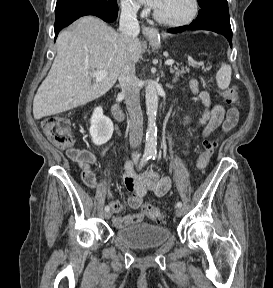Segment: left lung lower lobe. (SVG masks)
Masks as SVG:
<instances>
[{"label":"left lung lower lobe","mask_w":273,"mask_h":288,"mask_svg":"<svg viewBox=\"0 0 273 288\" xmlns=\"http://www.w3.org/2000/svg\"><path fill=\"white\" fill-rule=\"evenodd\" d=\"M210 30L222 34L232 47V30L228 11V3H219L199 10L197 18L189 25L171 28L170 33L183 32L185 30Z\"/></svg>","instance_id":"1"}]
</instances>
